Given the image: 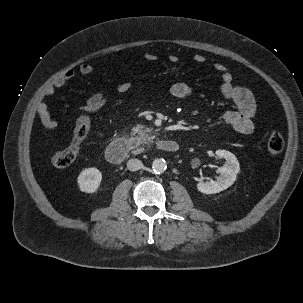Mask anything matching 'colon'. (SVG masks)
<instances>
[{
    "label": "colon",
    "instance_id": "5ec220e1",
    "mask_svg": "<svg viewBox=\"0 0 303 303\" xmlns=\"http://www.w3.org/2000/svg\"><path fill=\"white\" fill-rule=\"evenodd\" d=\"M106 100V95L88 99L83 108V113L77 119L69 145L65 149L54 153L51 157V164L55 169L66 168L75 161L79 154L81 144L91 129L92 115L103 108ZM283 148L284 139L281 133L272 131L267 140V151L269 156L277 157L282 152Z\"/></svg>",
    "mask_w": 303,
    "mask_h": 303
}]
</instances>
